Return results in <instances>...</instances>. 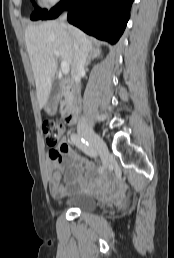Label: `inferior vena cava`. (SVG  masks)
<instances>
[{
    "instance_id": "1",
    "label": "inferior vena cava",
    "mask_w": 174,
    "mask_h": 258,
    "mask_svg": "<svg viewBox=\"0 0 174 258\" xmlns=\"http://www.w3.org/2000/svg\"><path fill=\"white\" fill-rule=\"evenodd\" d=\"M65 19H66V14H63L60 17V20L63 22ZM86 57H87V55L75 44L71 74H72V78L77 87L80 84L81 75L84 72ZM77 128L79 130L88 129V123L84 117H81V119L78 121Z\"/></svg>"
}]
</instances>
